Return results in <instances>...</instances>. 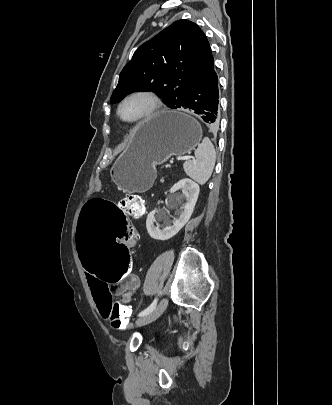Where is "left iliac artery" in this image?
<instances>
[{
  "mask_svg": "<svg viewBox=\"0 0 332 405\" xmlns=\"http://www.w3.org/2000/svg\"><path fill=\"white\" fill-rule=\"evenodd\" d=\"M157 301H158V299L155 298V299L153 300V302H152L146 309H144L143 311H141V312L138 314V316H139V317H143V316H146V315L150 314V313L156 308Z\"/></svg>",
  "mask_w": 332,
  "mask_h": 405,
  "instance_id": "44dca946",
  "label": "left iliac artery"
}]
</instances>
